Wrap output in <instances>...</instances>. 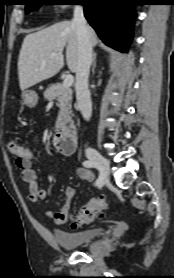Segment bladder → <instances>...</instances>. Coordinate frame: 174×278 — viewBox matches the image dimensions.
Here are the masks:
<instances>
[{
    "mask_svg": "<svg viewBox=\"0 0 174 278\" xmlns=\"http://www.w3.org/2000/svg\"><path fill=\"white\" fill-rule=\"evenodd\" d=\"M102 233L100 228H91L78 232L54 231L56 243L63 249H74L95 241Z\"/></svg>",
    "mask_w": 174,
    "mask_h": 278,
    "instance_id": "31cf9c89",
    "label": "bladder"
}]
</instances>
